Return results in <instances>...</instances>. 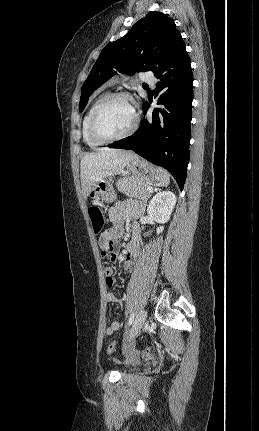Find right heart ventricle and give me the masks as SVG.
I'll list each match as a JSON object with an SVG mask.
<instances>
[{
    "label": "right heart ventricle",
    "instance_id": "e07e8e85",
    "mask_svg": "<svg viewBox=\"0 0 259 431\" xmlns=\"http://www.w3.org/2000/svg\"><path fill=\"white\" fill-rule=\"evenodd\" d=\"M105 97V95H100L98 97H96L94 99V101L91 103L90 107L88 108L86 114L84 115L83 121H82V135H83V140L84 142L91 148H97L100 145H102V143H99L97 141H95L94 139H92V137L90 136V132H89V122H90V118L91 115L95 109V107L97 106V104L101 101V99Z\"/></svg>",
    "mask_w": 259,
    "mask_h": 431
}]
</instances>
